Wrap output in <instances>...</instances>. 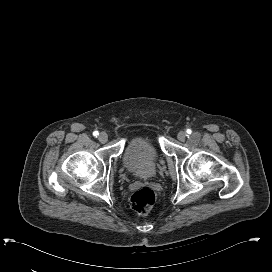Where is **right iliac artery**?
<instances>
[{"label":"right iliac artery","mask_w":272,"mask_h":272,"mask_svg":"<svg viewBox=\"0 0 272 272\" xmlns=\"http://www.w3.org/2000/svg\"><path fill=\"white\" fill-rule=\"evenodd\" d=\"M98 134H99L98 131L93 132V135L96 136V137H97Z\"/></svg>","instance_id":"1"}]
</instances>
